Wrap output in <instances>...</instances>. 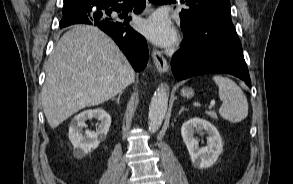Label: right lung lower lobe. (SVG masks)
Instances as JSON below:
<instances>
[{"label":"right lung lower lobe","instance_id":"98d812e1","mask_svg":"<svg viewBox=\"0 0 293 184\" xmlns=\"http://www.w3.org/2000/svg\"><path fill=\"white\" fill-rule=\"evenodd\" d=\"M134 5L135 13H140L145 0H102L97 5L82 8L73 14L63 16L60 27L75 23L93 24L113 38L136 71L146 67L149 53L145 38L128 25L130 19L118 22L111 17L112 12Z\"/></svg>","mask_w":293,"mask_h":184}]
</instances>
